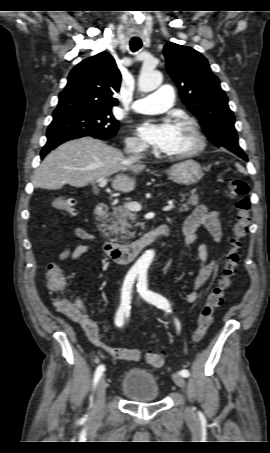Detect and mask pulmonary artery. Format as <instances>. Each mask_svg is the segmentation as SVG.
Returning a JSON list of instances; mask_svg holds the SVG:
<instances>
[{
  "instance_id": "pulmonary-artery-1",
  "label": "pulmonary artery",
  "mask_w": 270,
  "mask_h": 453,
  "mask_svg": "<svg viewBox=\"0 0 270 453\" xmlns=\"http://www.w3.org/2000/svg\"><path fill=\"white\" fill-rule=\"evenodd\" d=\"M173 102V88L162 86L156 92L135 100L132 109L143 114H160L167 111Z\"/></svg>"
}]
</instances>
